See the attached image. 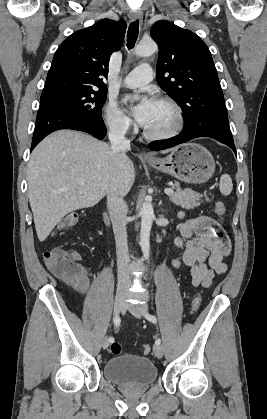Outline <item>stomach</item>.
<instances>
[{
	"instance_id": "stomach-1",
	"label": "stomach",
	"mask_w": 267,
	"mask_h": 419,
	"mask_svg": "<svg viewBox=\"0 0 267 419\" xmlns=\"http://www.w3.org/2000/svg\"><path fill=\"white\" fill-rule=\"evenodd\" d=\"M146 162L180 181L193 184L206 182L215 170L212 154L197 143L179 145L167 157Z\"/></svg>"
}]
</instances>
